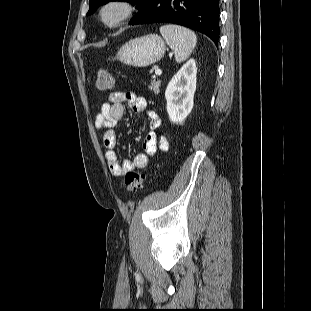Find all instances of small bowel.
Here are the masks:
<instances>
[{"label":"small bowel","instance_id":"1","mask_svg":"<svg viewBox=\"0 0 311 311\" xmlns=\"http://www.w3.org/2000/svg\"><path fill=\"white\" fill-rule=\"evenodd\" d=\"M127 104L135 113H145L149 125L144 142V153L135 155L132 160L119 161L116 154V133L113 130L115 124L123 119L124 105ZM161 120L157 113L147 108V102L131 92L116 91L109 95L94 120V128L98 132L103 131V145L105 157L110 173L117 177L129 171L142 170L147 167L149 157L156 154L157 150L166 152L169 149L168 139L164 136H157L156 130L160 127Z\"/></svg>","mask_w":311,"mask_h":311}]
</instances>
